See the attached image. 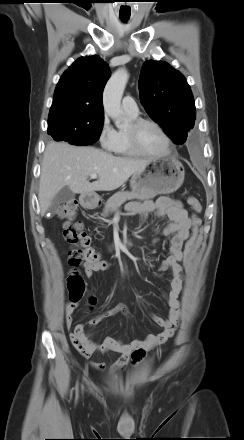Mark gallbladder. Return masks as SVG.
Returning <instances> with one entry per match:
<instances>
[{"mask_svg":"<svg viewBox=\"0 0 244 440\" xmlns=\"http://www.w3.org/2000/svg\"><path fill=\"white\" fill-rule=\"evenodd\" d=\"M74 197H75V193H73L68 187H63L53 198L52 204L49 207L48 212L54 215L61 204L73 200Z\"/></svg>","mask_w":244,"mask_h":440,"instance_id":"bac80fb5","label":"gallbladder"}]
</instances>
